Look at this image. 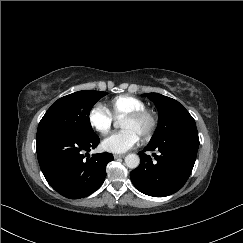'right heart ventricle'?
I'll return each mask as SVG.
<instances>
[{
    "instance_id": "right-heart-ventricle-1",
    "label": "right heart ventricle",
    "mask_w": 243,
    "mask_h": 243,
    "mask_svg": "<svg viewBox=\"0 0 243 243\" xmlns=\"http://www.w3.org/2000/svg\"><path fill=\"white\" fill-rule=\"evenodd\" d=\"M108 107L109 112L115 118H123L132 112L146 109L143 101L129 95H119L112 98Z\"/></svg>"
}]
</instances>
